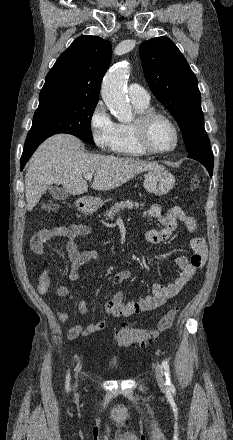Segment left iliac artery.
<instances>
[{
	"mask_svg": "<svg viewBox=\"0 0 233 440\" xmlns=\"http://www.w3.org/2000/svg\"><path fill=\"white\" fill-rule=\"evenodd\" d=\"M162 367L164 369V374H165V378H166V384H167V386L170 387L171 390H173L174 386H173L172 381H171V374H170V368H169L168 362L163 360L162 361Z\"/></svg>",
	"mask_w": 233,
	"mask_h": 440,
	"instance_id": "left-iliac-artery-1",
	"label": "left iliac artery"
}]
</instances>
